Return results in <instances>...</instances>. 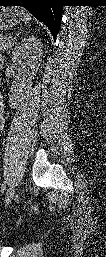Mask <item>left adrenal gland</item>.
<instances>
[{"label":"left adrenal gland","instance_id":"a2214340","mask_svg":"<svg viewBox=\"0 0 106 257\" xmlns=\"http://www.w3.org/2000/svg\"><path fill=\"white\" fill-rule=\"evenodd\" d=\"M20 34H21V32L17 33L16 36H19ZM14 39H16V37Z\"/></svg>","mask_w":106,"mask_h":257}]
</instances>
